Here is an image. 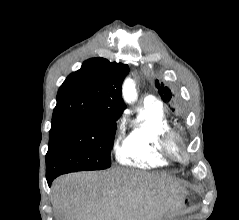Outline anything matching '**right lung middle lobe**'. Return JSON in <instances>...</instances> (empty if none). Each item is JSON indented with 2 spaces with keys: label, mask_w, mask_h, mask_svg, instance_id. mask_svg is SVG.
<instances>
[{
  "label": "right lung middle lobe",
  "mask_w": 239,
  "mask_h": 220,
  "mask_svg": "<svg viewBox=\"0 0 239 220\" xmlns=\"http://www.w3.org/2000/svg\"><path fill=\"white\" fill-rule=\"evenodd\" d=\"M118 118H52L46 154V177L109 168Z\"/></svg>",
  "instance_id": "dd1d6c3e"
}]
</instances>
